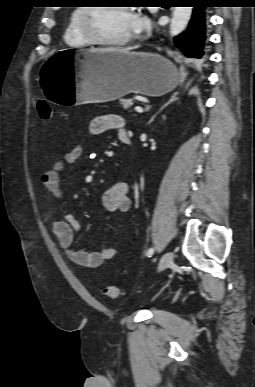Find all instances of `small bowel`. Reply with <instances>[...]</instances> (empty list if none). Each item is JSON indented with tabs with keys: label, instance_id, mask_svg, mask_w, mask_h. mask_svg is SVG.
Segmentation results:
<instances>
[{
	"label": "small bowel",
	"instance_id": "obj_1",
	"mask_svg": "<svg viewBox=\"0 0 255 387\" xmlns=\"http://www.w3.org/2000/svg\"><path fill=\"white\" fill-rule=\"evenodd\" d=\"M93 135H100L108 130L115 129L118 136L127 133L124 119L116 114H101L94 117L89 126ZM83 154V147L76 145L63 157L58 159L53 167L45 171L41 181L45 189L51 194L60 210L61 219L52 221V231L56 236L60 247L64 250L67 257L83 267L98 268L105 261L112 259L116 255V247L110 245L100 252H86L79 249L75 244V233L80 229L78 220L65 210L64 194L61 186V175L67 165H73L78 162ZM104 208L109 212L126 213L131 208V199L128 196V185L125 182H116L102 197Z\"/></svg>",
	"mask_w": 255,
	"mask_h": 387
}]
</instances>
